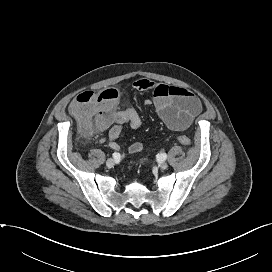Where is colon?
<instances>
[{
    "mask_svg": "<svg viewBox=\"0 0 272 272\" xmlns=\"http://www.w3.org/2000/svg\"><path fill=\"white\" fill-rule=\"evenodd\" d=\"M118 94L114 89L100 92L84 91L70 104V113L78 120L83 133L89 135L113 115ZM182 145H190L191 139L185 135L177 137Z\"/></svg>",
    "mask_w": 272,
    "mask_h": 272,
    "instance_id": "5ec220e1",
    "label": "colon"
}]
</instances>
